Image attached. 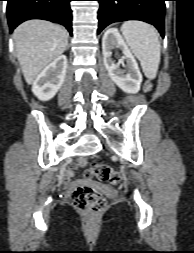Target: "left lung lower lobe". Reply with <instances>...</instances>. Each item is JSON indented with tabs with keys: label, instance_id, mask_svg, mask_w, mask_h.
I'll list each match as a JSON object with an SVG mask.
<instances>
[{
	"label": "left lung lower lobe",
	"instance_id": "obj_1",
	"mask_svg": "<svg viewBox=\"0 0 194 253\" xmlns=\"http://www.w3.org/2000/svg\"><path fill=\"white\" fill-rule=\"evenodd\" d=\"M98 34L113 22L141 20L154 25L164 38L166 0H97Z\"/></svg>",
	"mask_w": 194,
	"mask_h": 253
}]
</instances>
